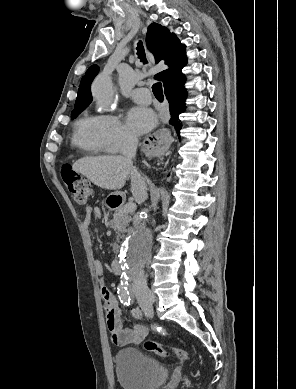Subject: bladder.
<instances>
[{
	"instance_id": "31cf9c89",
	"label": "bladder",
	"mask_w": 296,
	"mask_h": 389,
	"mask_svg": "<svg viewBox=\"0 0 296 389\" xmlns=\"http://www.w3.org/2000/svg\"><path fill=\"white\" fill-rule=\"evenodd\" d=\"M117 380L123 389H157L168 378V369L135 348L119 350L114 357Z\"/></svg>"
}]
</instances>
